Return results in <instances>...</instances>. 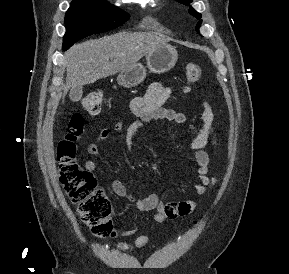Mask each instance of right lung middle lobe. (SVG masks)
<instances>
[{
	"mask_svg": "<svg viewBox=\"0 0 289 274\" xmlns=\"http://www.w3.org/2000/svg\"><path fill=\"white\" fill-rule=\"evenodd\" d=\"M130 15L106 0H73L66 12L63 50L78 40L124 24Z\"/></svg>",
	"mask_w": 289,
	"mask_h": 274,
	"instance_id": "right-lung-middle-lobe-1",
	"label": "right lung middle lobe"
}]
</instances>
